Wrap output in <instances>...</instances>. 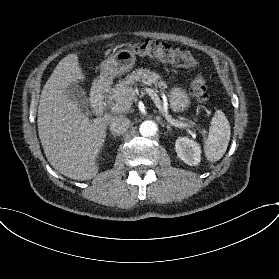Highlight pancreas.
Instances as JSON below:
<instances>
[{
    "instance_id": "cf45deb5",
    "label": "pancreas",
    "mask_w": 279,
    "mask_h": 279,
    "mask_svg": "<svg viewBox=\"0 0 279 279\" xmlns=\"http://www.w3.org/2000/svg\"><path fill=\"white\" fill-rule=\"evenodd\" d=\"M137 82H142L148 86L154 85L155 88H160L161 91L167 88V84L161 80L159 74L149 69H137L120 80L114 88L109 89L107 101L110 105L115 104L116 107L112 108L114 112L122 113L130 110L133 101L136 99V92L132 86ZM180 120L181 118L178 121Z\"/></svg>"
}]
</instances>
